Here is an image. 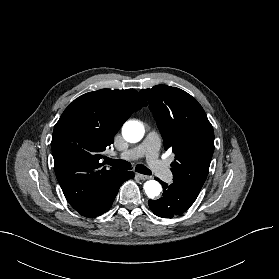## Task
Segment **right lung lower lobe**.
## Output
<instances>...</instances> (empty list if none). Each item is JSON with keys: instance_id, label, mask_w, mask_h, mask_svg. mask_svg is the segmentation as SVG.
Returning <instances> with one entry per match:
<instances>
[{"instance_id": "98d812e1", "label": "right lung lower lobe", "mask_w": 279, "mask_h": 279, "mask_svg": "<svg viewBox=\"0 0 279 279\" xmlns=\"http://www.w3.org/2000/svg\"><path fill=\"white\" fill-rule=\"evenodd\" d=\"M134 177L133 172L120 171L109 178L100 189L94 202L86 209L78 211L82 216L93 218L107 212L119 191L121 184Z\"/></svg>"}]
</instances>
